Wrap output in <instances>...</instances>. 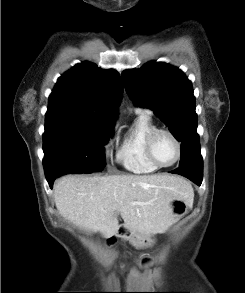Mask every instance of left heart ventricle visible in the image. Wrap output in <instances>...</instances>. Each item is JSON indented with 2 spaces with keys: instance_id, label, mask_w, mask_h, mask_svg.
Returning <instances> with one entry per match:
<instances>
[{
  "instance_id": "left-heart-ventricle-1",
  "label": "left heart ventricle",
  "mask_w": 245,
  "mask_h": 293,
  "mask_svg": "<svg viewBox=\"0 0 245 293\" xmlns=\"http://www.w3.org/2000/svg\"><path fill=\"white\" fill-rule=\"evenodd\" d=\"M154 155L161 164H169L176 157V147L166 134H160L154 143Z\"/></svg>"
}]
</instances>
